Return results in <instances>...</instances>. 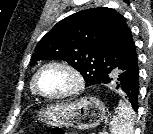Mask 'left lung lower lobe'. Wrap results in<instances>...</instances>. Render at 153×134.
Listing matches in <instances>:
<instances>
[{
  "instance_id": "obj_1",
  "label": "left lung lower lobe",
  "mask_w": 153,
  "mask_h": 134,
  "mask_svg": "<svg viewBox=\"0 0 153 134\" xmlns=\"http://www.w3.org/2000/svg\"><path fill=\"white\" fill-rule=\"evenodd\" d=\"M139 67L135 53L119 64L115 71L105 76L100 84H113L132 104L134 111L138 109Z\"/></svg>"
}]
</instances>
